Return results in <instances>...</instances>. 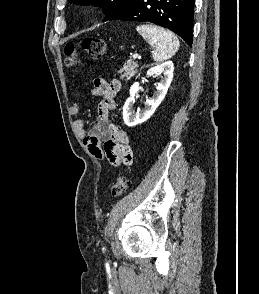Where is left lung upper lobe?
<instances>
[{
	"label": "left lung upper lobe",
	"mask_w": 259,
	"mask_h": 294,
	"mask_svg": "<svg viewBox=\"0 0 259 294\" xmlns=\"http://www.w3.org/2000/svg\"><path fill=\"white\" fill-rule=\"evenodd\" d=\"M70 3L79 5H93L103 7L105 20L113 14L132 3L134 0H68Z\"/></svg>",
	"instance_id": "obj_1"
}]
</instances>
